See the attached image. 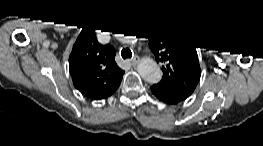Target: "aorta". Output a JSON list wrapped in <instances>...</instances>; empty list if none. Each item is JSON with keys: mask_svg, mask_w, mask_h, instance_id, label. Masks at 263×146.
Returning a JSON list of instances; mask_svg holds the SVG:
<instances>
[{"mask_svg": "<svg viewBox=\"0 0 263 146\" xmlns=\"http://www.w3.org/2000/svg\"><path fill=\"white\" fill-rule=\"evenodd\" d=\"M123 36V35H122ZM135 37H127V40L134 39ZM138 73L140 76L149 83H156L161 79V70L152 59H143L138 64Z\"/></svg>", "mask_w": 263, "mask_h": 146, "instance_id": "1", "label": "aorta"}]
</instances>
